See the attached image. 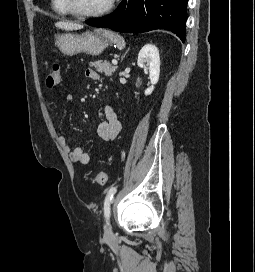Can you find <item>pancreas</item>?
<instances>
[{
  "label": "pancreas",
  "instance_id": "pancreas-1",
  "mask_svg": "<svg viewBox=\"0 0 255 272\" xmlns=\"http://www.w3.org/2000/svg\"><path fill=\"white\" fill-rule=\"evenodd\" d=\"M89 65L90 67H94L99 73H104L108 77L111 76L118 68L116 65H111L108 61L102 60L90 62Z\"/></svg>",
  "mask_w": 255,
  "mask_h": 272
}]
</instances>
